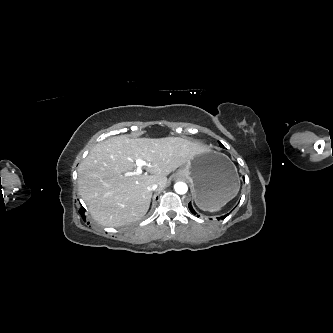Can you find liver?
Masks as SVG:
<instances>
[{
  "mask_svg": "<svg viewBox=\"0 0 333 333\" xmlns=\"http://www.w3.org/2000/svg\"><path fill=\"white\" fill-rule=\"evenodd\" d=\"M207 148L180 137L136 138L124 135L96 144L78 166V187L91 216L106 227L140 220L148 211L156 183L161 190L167 175ZM136 159L149 164L147 172L125 176L136 169Z\"/></svg>",
  "mask_w": 333,
  "mask_h": 333,
  "instance_id": "liver-1",
  "label": "liver"
}]
</instances>
